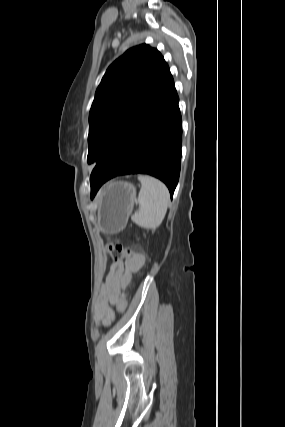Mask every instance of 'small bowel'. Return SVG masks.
<instances>
[{"mask_svg": "<svg viewBox=\"0 0 285 427\" xmlns=\"http://www.w3.org/2000/svg\"><path fill=\"white\" fill-rule=\"evenodd\" d=\"M144 264V255L135 254L125 261L118 260L111 265L95 304V315L99 324L107 326L111 323L114 318L112 305L118 301L121 289L129 281L130 273L139 270Z\"/></svg>", "mask_w": 285, "mask_h": 427, "instance_id": "c3829d8e", "label": "small bowel"}]
</instances>
